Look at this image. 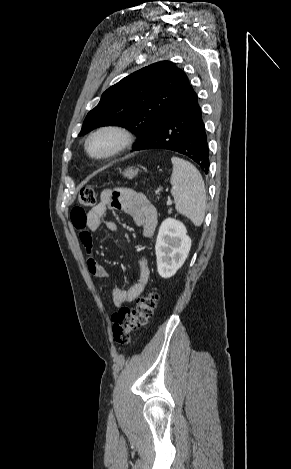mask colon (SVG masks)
I'll return each instance as SVG.
<instances>
[{"label":"colon","instance_id":"colon-1","mask_svg":"<svg viewBox=\"0 0 291 469\" xmlns=\"http://www.w3.org/2000/svg\"><path fill=\"white\" fill-rule=\"evenodd\" d=\"M78 200L83 207L94 206L96 203L94 190L90 187H82L79 191ZM83 211L82 207H76L73 209L72 214L79 217ZM157 300L158 294L155 291H149L137 299L135 307H123L112 315V335L116 344L127 345L133 331L149 324Z\"/></svg>","mask_w":291,"mask_h":469}]
</instances>
